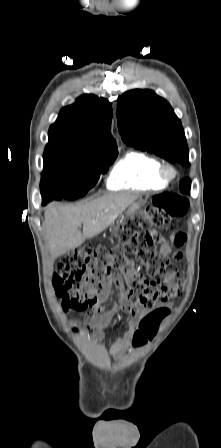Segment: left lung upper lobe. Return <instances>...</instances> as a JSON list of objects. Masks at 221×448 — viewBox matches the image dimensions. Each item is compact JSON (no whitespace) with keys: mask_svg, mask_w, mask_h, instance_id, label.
Instances as JSON below:
<instances>
[{"mask_svg":"<svg viewBox=\"0 0 221 448\" xmlns=\"http://www.w3.org/2000/svg\"><path fill=\"white\" fill-rule=\"evenodd\" d=\"M118 128L130 146L172 163L189 164L183 127L169 103L151 90H131L118 99Z\"/></svg>","mask_w":221,"mask_h":448,"instance_id":"5c2ea615","label":"left lung upper lobe"}]
</instances>
